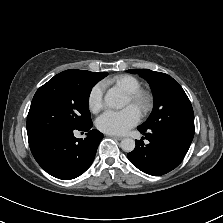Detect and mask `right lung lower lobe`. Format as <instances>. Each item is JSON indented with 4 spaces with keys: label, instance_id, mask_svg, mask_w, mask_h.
<instances>
[{
    "label": "right lung lower lobe",
    "instance_id": "obj_1",
    "mask_svg": "<svg viewBox=\"0 0 223 223\" xmlns=\"http://www.w3.org/2000/svg\"><path fill=\"white\" fill-rule=\"evenodd\" d=\"M92 122L80 128H62L28 136L31 152L38 164L50 175L70 180L80 176L92 164L103 134L92 129ZM87 132L85 139L74 131Z\"/></svg>",
    "mask_w": 223,
    "mask_h": 223
}]
</instances>
